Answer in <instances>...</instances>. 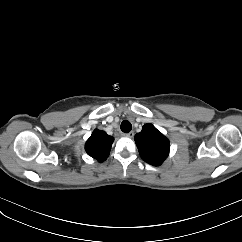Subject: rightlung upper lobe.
<instances>
[{
  "label": "right lung upper lobe",
  "mask_w": 242,
  "mask_h": 242,
  "mask_svg": "<svg viewBox=\"0 0 242 242\" xmlns=\"http://www.w3.org/2000/svg\"><path fill=\"white\" fill-rule=\"evenodd\" d=\"M113 141L114 138L112 136H109L104 131L95 129L85 144V150L88 155L99 162H103L109 155Z\"/></svg>",
  "instance_id": "obj_1"
}]
</instances>
